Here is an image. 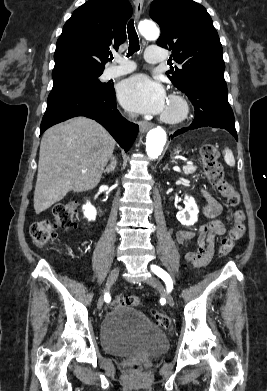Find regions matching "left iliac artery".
Masks as SVG:
<instances>
[{
  "instance_id": "left-iliac-artery-1",
  "label": "left iliac artery",
  "mask_w": 267,
  "mask_h": 391,
  "mask_svg": "<svg viewBox=\"0 0 267 391\" xmlns=\"http://www.w3.org/2000/svg\"><path fill=\"white\" fill-rule=\"evenodd\" d=\"M151 270L165 282L167 289L171 291L173 288V282L169 274L156 265H152Z\"/></svg>"
}]
</instances>
